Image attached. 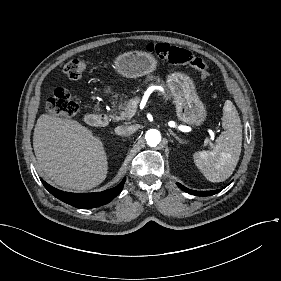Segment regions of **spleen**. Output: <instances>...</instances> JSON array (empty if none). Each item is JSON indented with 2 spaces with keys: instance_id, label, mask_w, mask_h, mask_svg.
Wrapping results in <instances>:
<instances>
[{
  "instance_id": "3e777b00",
  "label": "spleen",
  "mask_w": 281,
  "mask_h": 281,
  "mask_svg": "<svg viewBox=\"0 0 281 281\" xmlns=\"http://www.w3.org/2000/svg\"><path fill=\"white\" fill-rule=\"evenodd\" d=\"M222 120L225 131L216 139L213 149L193 155L195 165L213 183L223 182L232 175L241 154V120L230 100H226L224 104Z\"/></svg>"
}]
</instances>
